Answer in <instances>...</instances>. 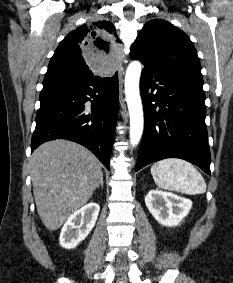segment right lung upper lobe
Instances as JSON below:
<instances>
[{"label":"right lung upper lobe","mask_w":233,"mask_h":283,"mask_svg":"<svg viewBox=\"0 0 233 283\" xmlns=\"http://www.w3.org/2000/svg\"><path fill=\"white\" fill-rule=\"evenodd\" d=\"M114 25L105 20L84 24L70 32L52 56L45 80L88 78L93 70H113L119 44ZM96 59V60H89ZM98 59V60H97Z\"/></svg>","instance_id":"1"}]
</instances>
